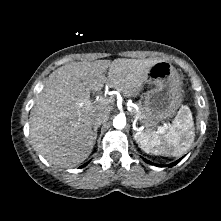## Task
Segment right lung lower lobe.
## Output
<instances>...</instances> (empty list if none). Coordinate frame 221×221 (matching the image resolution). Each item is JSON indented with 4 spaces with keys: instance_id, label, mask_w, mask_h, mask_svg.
I'll list each match as a JSON object with an SVG mask.
<instances>
[{
    "instance_id": "1",
    "label": "right lung lower lobe",
    "mask_w": 221,
    "mask_h": 221,
    "mask_svg": "<svg viewBox=\"0 0 221 221\" xmlns=\"http://www.w3.org/2000/svg\"><path fill=\"white\" fill-rule=\"evenodd\" d=\"M88 164V162L87 163H85L84 165H82L81 167H84V166H86Z\"/></svg>"
}]
</instances>
